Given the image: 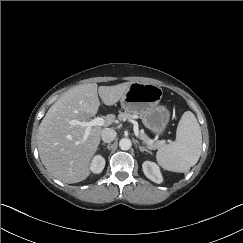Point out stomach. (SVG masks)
<instances>
[{
    "label": "stomach",
    "mask_w": 243,
    "mask_h": 243,
    "mask_svg": "<svg viewBox=\"0 0 243 243\" xmlns=\"http://www.w3.org/2000/svg\"><path fill=\"white\" fill-rule=\"evenodd\" d=\"M163 96L160 86L152 83L132 82L122 96L121 107L138 115L143 125L156 135L165 132L170 120L169 110L159 105Z\"/></svg>",
    "instance_id": "0dacf381"
}]
</instances>
